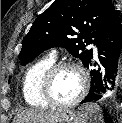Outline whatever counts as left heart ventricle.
I'll use <instances>...</instances> for the list:
<instances>
[{"label": "left heart ventricle", "mask_w": 122, "mask_h": 123, "mask_svg": "<svg viewBox=\"0 0 122 123\" xmlns=\"http://www.w3.org/2000/svg\"><path fill=\"white\" fill-rule=\"evenodd\" d=\"M81 85V76L76 70L63 69L53 80L51 95L58 102H68L78 95Z\"/></svg>", "instance_id": "left-heart-ventricle-1"}]
</instances>
